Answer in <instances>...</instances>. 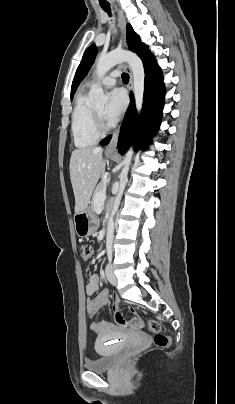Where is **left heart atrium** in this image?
Instances as JSON below:
<instances>
[{
	"instance_id": "1",
	"label": "left heart atrium",
	"mask_w": 235,
	"mask_h": 404,
	"mask_svg": "<svg viewBox=\"0 0 235 404\" xmlns=\"http://www.w3.org/2000/svg\"><path fill=\"white\" fill-rule=\"evenodd\" d=\"M127 106V98L121 89H114L109 93L108 104L104 111V118L110 122H116Z\"/></svg>"
}]
</instances>
